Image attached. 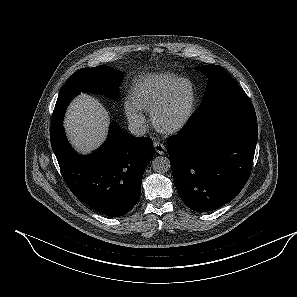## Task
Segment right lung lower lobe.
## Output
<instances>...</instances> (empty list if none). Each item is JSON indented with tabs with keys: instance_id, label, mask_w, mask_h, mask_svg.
<instances>
[{
	"instance_id": "98d812e1",
	"label": "right lung lower lobe",
	"mask_w": 297,
	"mask_h": 297,
	"mask_svg": "<svg viewBox=\"0 0 297 297\" xmlns=\"http://www.w3.org/2000/svg\"><path fill=\"white\" fill-rule=\"evenodd\" d=\"M50 138L67 186L83 203L112 217L123 216L135 206L154 153L150 138L134 137L111 125L105 143L85 157L68 144L62 121Z\"/></svg>"
}]
</instances>
